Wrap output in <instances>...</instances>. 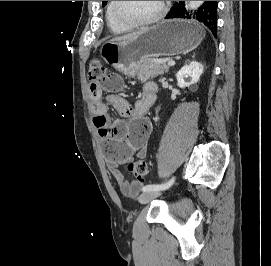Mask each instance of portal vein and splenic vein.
Returning a JSON list of instances; mask_svg holds the SVG:
<instances>
[{"mask_svg":"<svg viewBox=\"0 0 271 266\" xmlns=\"http://www.w3.org/2000/svg\"><path fill=\"white\" fill-rule=\"evenodd\" d=\"M167 64H168L169 66H174V65H175V61L169 60V61L167 62Z\"/></svg>","mask_w":271,"mask_h":266,"instance_id":"18ae733b","label":"portal vein and splenic vein"}]
</instances>
